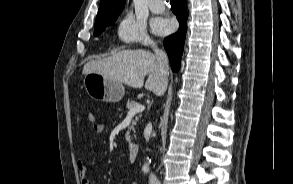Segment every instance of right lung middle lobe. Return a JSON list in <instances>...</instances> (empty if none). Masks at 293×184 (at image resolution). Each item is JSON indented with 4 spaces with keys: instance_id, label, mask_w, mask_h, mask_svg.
<instances>
[{
    "instance_id": "1",
    "label": "right lung middle lobe",
    "mask_w": 293,
    "mask_h": 184,
    "mask_svg": "<svg viewBox=\"0 0 293 184\" xmlns=\"http://www.w3.org/2000/svg\"><path fill=\"white\" fill-rule=\"evenodd\" d=\"M115 21H111L109 23H104V24H100V25H95V28H94V36H98L100 35L105 29L107 26L113 24Z\"/></svg>"
}]
</instances>
